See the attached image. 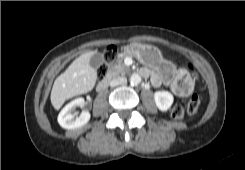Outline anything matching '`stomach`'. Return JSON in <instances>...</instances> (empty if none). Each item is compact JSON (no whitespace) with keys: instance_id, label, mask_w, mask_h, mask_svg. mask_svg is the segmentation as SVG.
I'll use <instances>...</instances> for the list:
<instances>
[{"instance_id":"1","label":"stomach","mask_w":245,"mask_h":170,"mask_svg":"<svg viewBox=\"0 0 245 170\" xmlns=\"http://www.w3.org/2000/svg\"><path fill=\"white\" fill-rule=\"evenodd\" d=\"M126 51L135 57L140 63L150 68L157 69L163 64L161 52L150 45L133 43L126 48ZM177 80L184 81L188 86V90L191 91L193 83L190 76L185 71L177 78Z\"/></svg>"}]
</instances>
